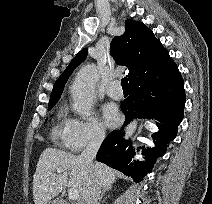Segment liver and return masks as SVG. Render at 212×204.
I'll return each instance as SVG.
<instances>
[{"mask_svg": "<svg viewBox=\"0 0 212 204\" xmlns=\"http://www.w3.org/2000/svg\"><path fill=\"white\" fill-rule=\"evenodd\" d=\"M57 169H62L63 173H56ZM91 173L103 189H111L116 180L115 171L102 163H95L93 170H90L81 156L46 148L40 155L33 177L35 204H48L66 185L70 189H77L83 198Z\"/></svg>", "mask_w": 212, "mask_h": 204, "instance_id": "6515ba94", "label": "liver"}]
</instances>
